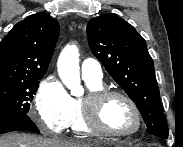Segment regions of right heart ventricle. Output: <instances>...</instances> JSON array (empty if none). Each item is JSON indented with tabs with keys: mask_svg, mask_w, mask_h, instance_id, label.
I'll return each mask as SVG.
<instances>
[{
	"mask_svg": "<svg viewBox=\"0 0 183 147\" xmlns=\"http://www.w3.org/2000/svg\"><path fill=\"white\" fill-rule=\"evenodd\" d=\"M86 84L90 92L103 89L101 82L86 81ZM71 105L72 118L68 127L77 135L89 136L95 134L85 121L83 99L71 97Z\"/></svg>",
	"mask_w": 183,
	"mask_h": 147,
	"instance_id": "right-heart-ventricle-1",
	"label": "right heart ventricle"
}]
</instances>
